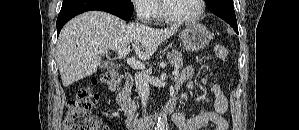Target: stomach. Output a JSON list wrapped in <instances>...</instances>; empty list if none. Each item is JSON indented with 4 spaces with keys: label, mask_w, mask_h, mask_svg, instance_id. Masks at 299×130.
Segmentation results:
<instances>
[{
    "label": "stomach",
    "mask_w": 299,
    "mask_h": 130,
    "mask_svg": "<svg viewBox=\"0 0 299 130\" xmlns=\"http://www.w3.org/2000/svg\"><path fill=\"white\" fill-rule=\"evenodd\" d=\"M183 48L187 51L195 52L205 48L212 35L206 26L199 23L188 25L179 35Z\"/></svg>",
    "instance_id": "0dacf381"
}]
</instances>
